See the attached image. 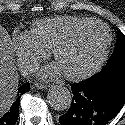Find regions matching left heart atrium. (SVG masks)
<instances>
[{"instance_id":"1","label":"left heart atrium","mask_w":125,"mask_h":125,"mask_svg":"<svg viewBox=\"0 0 125 125\" xmlns=\"http://www.w3.org/2000/svg\"><path fill=\"white\" fill-rule=\"evenodd\" d=\"M61 73H63L61 67L57 63H54L50 66L43 68L39 74L41 77L46 78V77H55L60 75Z\"/></svg>"}]
</instances>
